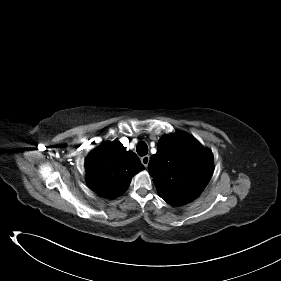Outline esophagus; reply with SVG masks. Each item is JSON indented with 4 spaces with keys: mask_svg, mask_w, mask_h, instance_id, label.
Returning a JSON list of instances; mask_svg holds the SVG:
<instances>
[{
    "mask_svg": "<svg viewBox=\"0 0 281 281\" xmlns=\"http://www.w3.org/2000/svg\"><path fill=\"white\" fill-rule=\"evenodd\" d=\"M149 160H150V157H149L148 155L143 156V157L141 158V162H142V164H143L145 167L148 166Z\"/></svg>",
    "mask_w": 281,
    "mask_h": 281,
    "instance_id": "1",
    "label": "esophagus"
}]
</instances>
